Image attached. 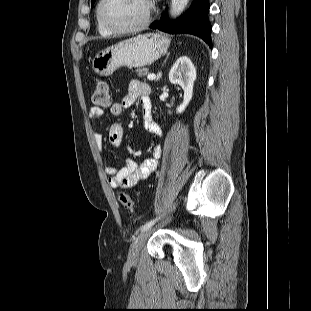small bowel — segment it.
<instances>
[{
	"instance_id": "c3829d8e",
	"label": "small bowel",
	"mask_w": 311,
	"mask_h": 311,
	"mask_svg": "<svg viewBox=\"0 0 311 311\" xmlns=\"http://www.w3.org/2000/svg\"><path fill=\"white\" fill-rule=\"evenodd\" d=\"M151 88L148 84L139 80H131L128 85L127 93L121 101L112 103L110 113L113 117H120L124 110L132 107L139 99L143 112L144 127L147 132L155 136L163 135L162 128L153 121L152 107L150 101ZM103 109L100 107H91L88 112V121L94 125L103 115ZM123 126L121 123L113 122L108 130V141L112 147H119L123 140ZM93 140L96 146L101 150L103 138L100 132L93 130ZM162 155L160 146L153 148V156L144 160L142 163H136L132 158L125 160V165L120 168L109 167L106 169L108 175V184L113 189H129L135 187L140 181L146 179L150 174L156 171L159 159Z\"/></svg>"
}]
</instances>
